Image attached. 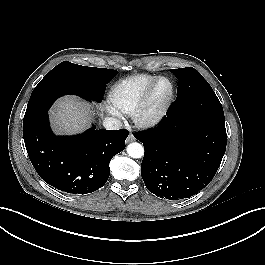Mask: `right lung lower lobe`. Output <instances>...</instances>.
I'll return each mask as SVG.
<instances>
[{"instance_id":"1","label":"right lung lower lobe","mask_w":265,"mask_h":265,"mask_svg":"<svg viewBox=\"0 0 265 265\" xmlns=\"http://www.w3.org/2000/svg\"><path fill=\"white\" fill-rule=\"evenodd\" d=\"M128 131L95 129L76 136H56L48 110L23 122L26 150L39 176L49 185L70 194L101 188L110 175L111 158L125 148Z\"/></svg>"}]
</instances>
